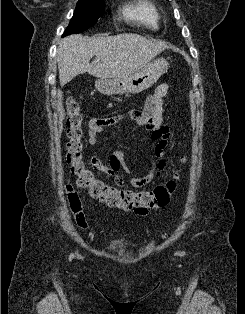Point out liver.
<instances>
[{
	"mask_svg": "<svg viewBox=\"0 0 245 314\" xmlns=\"http://www.w3.org/2000/svg\"><path fill=\"white\" fill-rule=\"evenodd\" d=\"M168 48L163 41L132 33L65 37L59 42L56 55L60 85L64 86L83 73L98 78L128 76L146 67ZM93 56L95 59L90 63Z\"/></svg>",
	"mask_w": 245,
	"mask_h": 314,
	"instance_id": "1",
	"label": "liver"
}]
</instances>
